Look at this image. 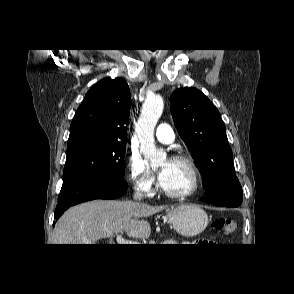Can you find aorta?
Returning <instances> with one entry per match:
<instances>
[{"label": "aorta", "mask_w": 294, "mask_h": 294, "mask_svg": "<svg viewBox=\"0 0 294 294\" xmlns=\"http://www.w3.org/2000/svg\"><path fill=\"white\" fill-rule=\"evenodd\" d=\"M163 108L164 102L161 96L154 95L148 97L142 106L141 115L136 127L141 144V152L149 160L152 168L161 166L166 160V152L156 148L154 139V129L162 115Z\"/></svg>", "instance_id": "762f6f07"}]
</instances>
